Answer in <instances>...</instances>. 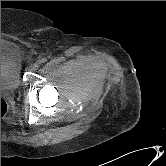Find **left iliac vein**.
Masks as SVG:
<instances>
[{
    "instance_id": "obj_1",
    "label": "left iliac vein",
    "mask_w": 166,
    "mask_h": 166,
    "mask_svg": "<svg viewBox=\"0 0 166 166\" xmlns=\"http://www.w3.org/2000/svg\"><path fill=\"white\" fill-rule=\"evenodd\" d=\"M32 68L34 70H37L39 68V62H35L33 65H32Z\"/></svg>"
}]
</instances>
